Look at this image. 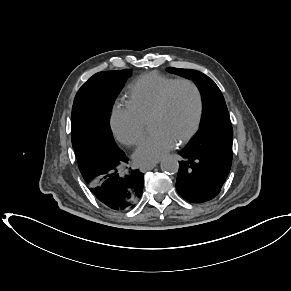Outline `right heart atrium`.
I'll return each mask as SVG.
<instances>
[{"label": "right heart atrium", "instance_id": "right-heart-atrium-1", "mask_svg": "<svg viewBox=\"0 0 291 291\" xmlns=\"http://www.w3.org/2000/svg\"><path fill=\"white\" fill-rule=\"evenodd\" d=\"M110 125L115 137L125 145H135L144 134L145 122L127 103L113 108Z\"/></svg>", "mask_w": 291, "mask_h": 291}]
</instances>
